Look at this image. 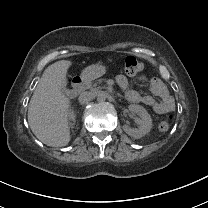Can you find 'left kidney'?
<instances>
[{
    "instance_id": "1",
    "label": "left kidney",
    "mask_w": 208,
    "mask_h": 208,
    "mask_svg": "<svg viewBox=\"0 0 208 208\" xmlns=\"http://www.w3.org/2000/svg\"><path fill=\"white\" fill-rule=\"evenodd\" d=\"M129 111L132 114H136L140 117L139 119H135L140 127L137 129L133 127L123 126V131L134 139H139L149 134L153 123L151 116L147 110L140 105L131 104L129 105Z\"/></svg>"
}]
</instances>
